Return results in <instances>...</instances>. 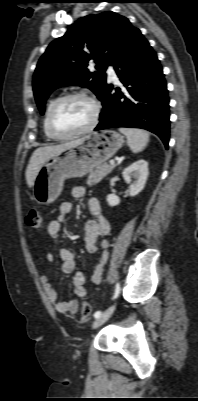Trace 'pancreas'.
<instances>
[{"instance_id":"1","label":"pancreas","mask_w":198,"mask_h":401,"mask_svg":"<svg viewBox=\"0 0 198 401\" xmlns=\"http://www.w3.org/2000/svg\"><path fill=\"white\" fill-rule=\"evenodd\" d=\"M115 165H111L108 163H105L101 166H97L96 170L91 172L88 179H87V185L92 186L97 183H99L104 177H106L113 169Z\"/></svg>"}]
</instances>
